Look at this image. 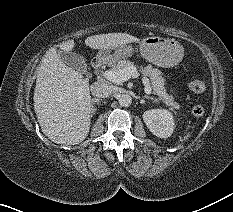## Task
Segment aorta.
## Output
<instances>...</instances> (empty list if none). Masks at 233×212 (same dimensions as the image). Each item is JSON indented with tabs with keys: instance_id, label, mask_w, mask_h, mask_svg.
Masks as SVG:
<instances>
[{
	"instance_id": "1",
	"label": "aorta",
	"mask_w": 233,
	"mask_h": 212,
	"mask_svg": "<svg viewBox=\"0 0 233 212\" xmlns=\"http://www.w3.org/2000/svg\"><path fill=\"white\" fill-rule=\"evenodd\" d=\"M118 101H119L120 106L128 107L132 103V98L129 94H122L120 95Z\"/></svg>"
}]
</instances>
